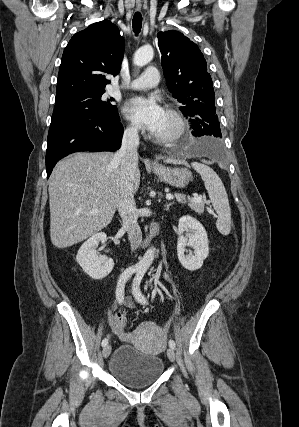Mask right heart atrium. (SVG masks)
Wrapping results in <instances>:
<instances>
[{
    "label": "right heart atrium",
    "instance_id": "obj_1",
    "mask_svg": "<svg viewBox=\"0 0 299 427\" xmlns=\"http://www.w3.org/2000/svg\"><path fill=\"white\" fill-rule=\"evenodd\" d=\"M126 133H127L129 136H136V135H137V129H136V127H135V126H133V125H129V126H127V128H126Z\"/></svg>",
    "mask_w": 299,
    "mask_h": 427
}]
</instances>
